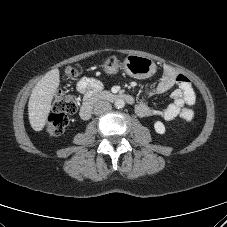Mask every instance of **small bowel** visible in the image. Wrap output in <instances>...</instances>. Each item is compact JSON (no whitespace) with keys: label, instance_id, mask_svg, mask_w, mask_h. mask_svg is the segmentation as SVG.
Masks as SVG:
<instances>
[{"label":"small bowel","instance_id":"c3829d8e","mask_svg":"<svg viewBox=\"0 0 227 227\" xmlns=\"http://www.w3.org/2000/svg\"><path fill=\"white\" fill-rule=\"evenodd\" d=\"M174 85H177L171 94V102L164 109H152L146 101H140L136 104V113L140 117L158 116L165 121H171L180 118L185 122L193 119L194 113L192 106L196 102V95L190 83V80L183 74H177L170 66L164 68L161 80L153 88H147L148 97L154 94H163L169 91ZM101 87V83L94 79L85 77L77 84V91L86 97L96 93Z\"/></svg>","mask_w":227,"mask_h":227}]
</instances>
